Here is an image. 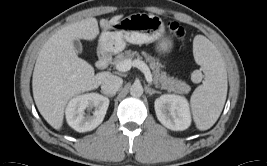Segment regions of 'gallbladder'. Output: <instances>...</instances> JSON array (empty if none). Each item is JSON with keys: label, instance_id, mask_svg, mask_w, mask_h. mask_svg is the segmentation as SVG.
Returning <instances> with one entry per match:
<instances>
[{"label": "gallbladder", "instance_id": "1", "mask_svg": "<svg viewBox=\"0 0 267 166\" xmlns=\"http://www.w3.org/2000/svg\"><path fill=\"white\" fill-rule=\"evenodd\" d=\"M73 47L77 53L82 52V44L78 39L73 40Z\"/></svg>", "mask_w": 267, "mask_h": 166}]
</instances>
